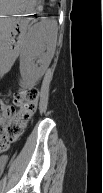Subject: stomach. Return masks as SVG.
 Masks as SVG:
<instances>
[{"label": "stomach", "instance_id": "1", "mask_svg": "<svg viewBox=\"0 0 103 193\" xmlns=\"http://www.w3.org/2000/svg\"><path fill=\"white\" fill-rule=\"evenodd\" d=\"M36 2L37 0H1V13L7 20L8 17L15 14L33 11Z\"/></svg>", "mask_w": 103, "mask_h": 193}]
</instances>
